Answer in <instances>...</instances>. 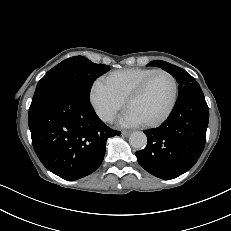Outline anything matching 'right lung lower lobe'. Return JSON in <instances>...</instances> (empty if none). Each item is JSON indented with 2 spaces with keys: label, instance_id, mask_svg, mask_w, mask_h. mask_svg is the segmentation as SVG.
<instances>
[{
  "label": "right lung lower lobe",
  "instance_id": "right-lung-lower-lobe-1",
  "mask_svg": "<svg viewBox=\"0 0 231 231\" xmlns=\"http://www.w3.org/2000/svg\"><path fill=\"white\" fill-rule=\"evenodd\" d=\"M34 150L42 164L65 180L94 172L103 161L106 141L121 132L96 115L89 98L59 89L29 109Z\"/></svg>",
  "mask_w": 231,
  "mask_h": 231
}]
</instances>
